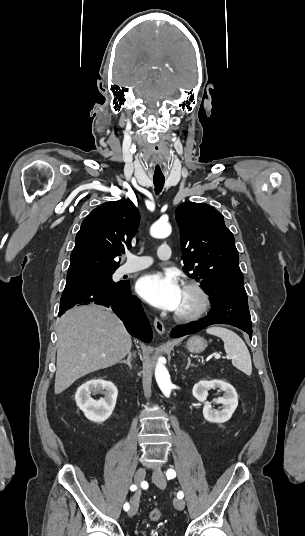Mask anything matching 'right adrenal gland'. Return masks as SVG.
I'll use <instances>...</instances> for the list:
<instances>
[{
    "instance_id": "1",
    "label": "right adrenal gland",
    "mask_w": 305,
    "mask_h": 536,
    "mask_svg": "<svg viewBox=\"0 0 305 536\" xmlns=\"http://www.w3.org/2000/svg\"><path fill=\"white\" fill-rule=\"evenodd\" d=\"M132 358H135V352H129L127 360H123V362H121V364H127V366H129L130 370H132V364H131Z\"/></svg>"
}]
</instances>
